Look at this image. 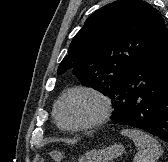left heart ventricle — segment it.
Instances as JSON below:
<instances>
[{"label":"left heart ventricle","mask_w":168,"mask_h":162,"mask_svg":"<svg viewBox=\"0 0 168 162\" xmlns=\"http://www.w3.org/2000/svg\"><path fill=\"white\" fill-rule=\"evenodd\" d=\"M98 112V102L84 94H75L66 98L59 108L60 120L67 126L82 124L92 119Z\"/></svg>","instance_id":"b2bd125f"}]
</instances>
